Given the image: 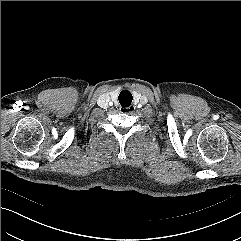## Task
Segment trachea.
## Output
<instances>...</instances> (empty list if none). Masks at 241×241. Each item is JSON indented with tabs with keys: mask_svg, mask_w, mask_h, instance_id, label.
<instances>
[{
	"mask_svg": "<svg viewBox=\"0 0 241 241\" xmlns=\"http://www.w3.org/2000/svg\"><path fill=\"white\" fill-rule=\"evenodd\" d=\"M122 107H128L132 102V94L129 91H122L118 97Z\"/></svg>",
	"mask_w": 241,
	"mask_h": 241,
	"instance_id": "obj_1",
	"label": "trachea"
}]
</instances>
